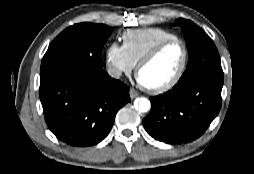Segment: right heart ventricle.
<instances>
[{"label": "right heart ventricle", "instance_id": "1", "mask_svg": "<svg viewBox=\"0 0 254 174\" xmlns=\"http://www.w3.org/2000/svg\"><path fill=\"white\" fill-rule=\"evenodd\" d=\"M176 37L169 30L150 27L125 31L122 41L128 57L136 65L155 45Z\"/></svg>", "mask_w": 254, "mask_h": 174}]
</instances>
